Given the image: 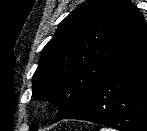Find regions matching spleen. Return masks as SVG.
Segmentation results:
<instances>
[{"mask_svg": "<svg viewBox=\"0 0 147 131\" xmlns=\"http://www.w3.org/2000/svg\"><path fill=\"white\" fill-rule=\"evenodd\" d=\"M101 131H114V130L110 128H102Z\"/></svg>", "mask_w": 147, "mask_h": 131, "instance_id": "obj_1", "label": "spleen"}]
</instances>
